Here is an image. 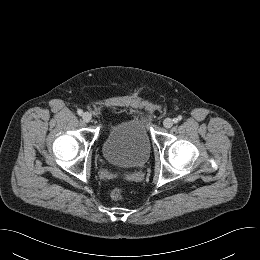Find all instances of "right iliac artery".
<instances>
[{"instance_id": "82829eb1", "label": "right iliac artery", "mask_w": 260, "mask_h": 260, "mask_svg": "<svg viewBox=\"0 0 260 260\" xmlns=\"http://www.w3.org/2000/svg\"><path fill=\"white\" fill-rule=\"evenodd\" d=\"M77 113H78V115H82L83 114V111L81 110V109H79L78 111H77Z\"/></svg>"}]
</instances>
